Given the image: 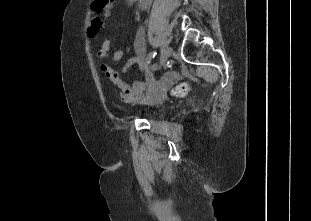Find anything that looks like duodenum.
I'll use <instances>...</instances> for the list:
<instances>
[{
  "label": "duodenum",
  "instance_id": "410a0bca",
  "mask_svg": "<svg viewBox=\"0 0 311 221\" xmlns=\"http://www.w3.org/2000/svg\"><path fill=\"white\" fill-rule=\"evenodd\" d=\"M151 2V0H137V6L140 10L144 9V7H146L149 3Z\"/></svg>",
  "mask_w": 311,
  "mask_h": 221
}]
</instances>
